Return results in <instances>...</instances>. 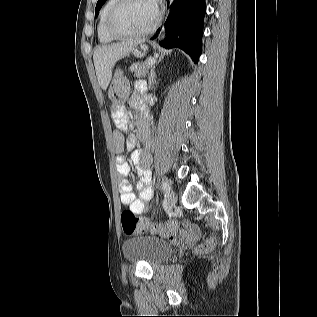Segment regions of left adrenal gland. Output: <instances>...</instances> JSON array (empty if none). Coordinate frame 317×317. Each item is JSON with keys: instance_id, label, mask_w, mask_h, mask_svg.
<instances>
[{"instance_id": "left-adrenal-gland-1", "label": "left adrenal gland", "mask_w": 317, "mask_h": 317, "mask_svg": "<svg viewBox=\"0 0 317 317\" xmlns=\"http://www.w3.org/2000/svg\"><path fill=\"white\" fill-rule=\"evenodd\" d=\"M154 68L155 67H153V69H151V72H150V75H149V80H148V82H149V89H152L153 87V84H154V81H155V77H156V74H155V72H154Z\"/></svg>"}]
</instances>
